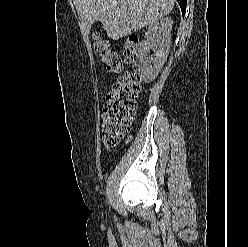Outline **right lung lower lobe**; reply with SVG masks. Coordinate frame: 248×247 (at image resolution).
<instances>
[{
    "instance_id": "obj_1",
    "label": "right lung lower lobe",
    "mask_w": 248,
    "mask_h": 247,
    "mask_svg": "<svg viewBox=\"0 0 248 247\" xmlns=\"http://www.w3.org/2000/svg\"><path fill=\"white\" fill-rule=\"evenodd\" d=\"M180 7H181V10H182V14L184 15L185 12H186V3H187V0H177Z\"/></svg>"
}]
</instances>
